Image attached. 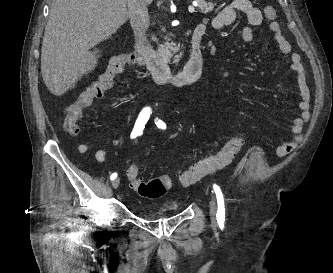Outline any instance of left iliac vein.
Instances as JSON below:
<instances>
[{
	"label": "left iliac vein",
	"mask_w": 333,
	"mask_h": 273,
	"mask_svg": "<svg viewBox=\"0 0 333 273\" xmlns=\"http://www.w3.org/2000/svg\"><path fill=\"white\" fill-rule=\"evenodd\" d=\"M210 219H211V223L213 226L217 225V220H216V203H215V199L214 197L211 195L210 197Z\"/></svg>",
	"instance_id": "left-iliac-vein-1"
}]
</instances>
